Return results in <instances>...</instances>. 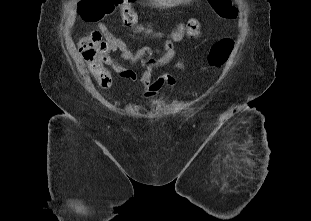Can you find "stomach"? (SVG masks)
I'll return each instance as SVG.
<instances>
[{
	"instance_id": "1",
	"label": "stomach",
	"mask_w": 311,
	"mask_h": 221,
	"mask_svg": "<svg viewBox=\"0 0 311 221\" xmlns=\"http://www.w3.org/2000/svg\"><path fill=\"white\" fill-rule=\"evenodd\" d=\"M157 6H176V4H180L183 0H154Z\"/></svg>"
}]
</instances>
